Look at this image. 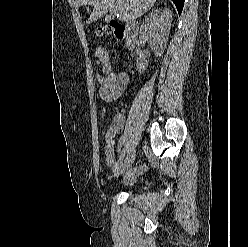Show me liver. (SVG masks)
<instances>
[{
	"instance_id": "1",
	"label": "liver",
	"mask_w": 248,
	"mask_h": 247,
	"mask_svg": "<svg viewBox=\"0 0 248 247\" xmlns=\"http://www.w3.org/2000/svg\"><path fill=\"white\" fill-rule=\"evenodd\" d=\"M156 0H75L76 7L92 5L88 23L97 21L106 15L108 11L118 13L123 21L134 20L154 6Z\"/></svg>"
}]
</instances>
